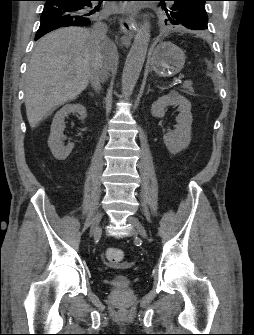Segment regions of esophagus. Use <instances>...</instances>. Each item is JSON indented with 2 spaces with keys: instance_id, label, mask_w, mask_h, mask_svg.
<instances>
[{
  "instance_id": "1",
  "label": "esophagus",
  "mask_w": 254,
  "mask_h": 335,
  "mask_svg": "<svg viewBox=\"0 0 254 335\" xmlns=\"http://www.w3.org/2000/svg\"><path fill=\"white\" fill-rule=\"evenodd\" d=\"M120 30L123 32V36L121 37V44L125 47L130 46L131 38L134 35L137 29V20L133 16L129 17H120L119 19Z\"/></svg>"
}]
</instances>
